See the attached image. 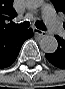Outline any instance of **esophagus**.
Masks as SVG:
<instances>
[{
	"instance_id": "34e87169",
	"label": "esophagus",
	"mask_w": 65,
	"mask_h": 89,
	"mask_svg": "<svg viewBox=\"0 0 65 89\" xmlns=\"http://www.w3.org/2000/svg\"><path fill=\"white\" fill-rule=\"evenodd\" d=\"M33 31H34V34H35V35H38V36H40V37H45V36L47 35L46 32L41 31V30H39V29H37V28H34Z\"/></svg>"
}]
</instances>
